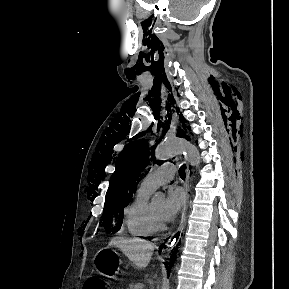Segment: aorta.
Masks as SVG:
<instances>
[{
  "label": "aorta",
  "instance_id": "aorta-1",
  "mask_svg": "<svg viewBox=\"0 0 289 289\" xmlns=\"http://www.w3.org/2000/svg\"><path fill=\"white\" fill-rule=\"evenodd\" d=\"M180 155H184L192 166L199 167L200 155L197 147L183 138L167 137L157 146L155 151L156 160L160 162ZM163 197L161 192H157L154 194L153 200H159Z\"/></svg>",
  "mask_w": 289,
  "mask_h": 289
}]
</instances>
